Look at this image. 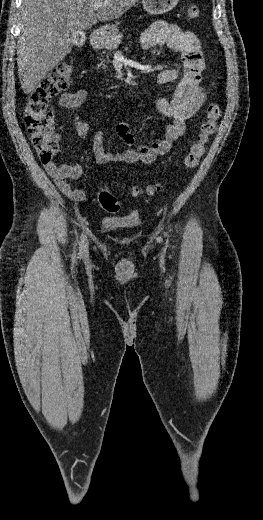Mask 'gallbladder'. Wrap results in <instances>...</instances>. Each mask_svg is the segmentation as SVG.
Masks as SVG:
<instances>
[{
	"label": "gallbladder",
	"instance_id": "gallbladder-1",
	"mask_svg": "<svg viewBox=\"0 0 263 520\" xmlns=\"http://www.w3.org/2000/svg\"><path fill=\"white\" fill-rule=\"evenodd\" d=\"M77 33H78V29H77L76 27H74V28L71 30V33H70L72 39H74V38L76 37Z\"/></svg>",
	"mask_w": 263,
	"mask_h": 520
}]
</instances>
